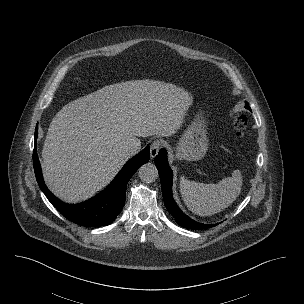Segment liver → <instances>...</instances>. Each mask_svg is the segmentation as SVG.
Here are the masks:
<instances>
[{
    "instance_id": "1",
    "label": "liver",
    "mask_w": 304,
    "mask_h": 304,
    "mask_svg": "<svg viewBox=\"0 0 304 304\" xmlns=\"http://www.w3.org/2000/svg\"><path fill=\"white\" fill-rule=\"evenodd\" d=\"M192 96L156 80L105 86L66 104L52 119L42 149L48 188L66 201H81L105 187L130 156L137 137L172 136Z\"/></svg>"
}]
</instances>
